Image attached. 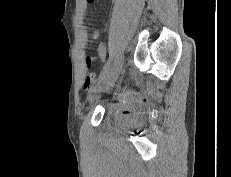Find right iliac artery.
Returning <instances> with one entry per match:
<instances>
[{"mask_svg":"<svg viewBox=\"0 0 231 177\" xmlns=\"http://www.w3.org/2000/svg\"><path fill=\"white\" fill-rule=\"evenodd\" d=\"M110 66H111V60H108L99 75V78H98L99 82H101L103 78L105 77V75L108 73Z\"/></svg>","mask_w":231,"mask_h":177,"instance_id":"obj_1","label":"right iliac artery"}]
</instances>
